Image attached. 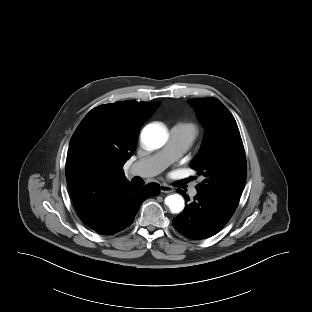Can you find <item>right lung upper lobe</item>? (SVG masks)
<instances>
[{
	"instance_id": "1",
	"label": "right lung upper lobe",
	"mask_w": 312,
	"mask_h": 312,
	"mask_svg": "<svg viewBox=\"0 0 312 312\" xmlns=\"http://www.w3.org/2000/svg\"><path fill=\"white\" fill-rule=\"evenodd\" d=\"M160 102L122 101L100 105L82 119L71 140L66 178L85 223L96 219L130 182L122 170L136 148L143 123Z\"/></svg>"
}]
</instances>
